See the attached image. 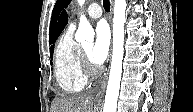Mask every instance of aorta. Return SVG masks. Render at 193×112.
<instances>
[{
  "label": "aorta",
  "instance_id": "obj_1",
  "mask_svg": "<svg viewBox=\"0 0 193 112\" xmlns=\"http://www.w3.org/2000/svg\"><path fill=\"white\" fill-rule=\"evenodd\" d=\"M78 3L82 6L84 0H78ZM126 6V0L114 1L113 52L103 112H116L117 109V100L122 76V61L124 56ZM75 39L78 42H92L94 40V30L85 16L80 17V23Z\"/></svg>",
  "mask_w": 193,
  "mask_h": 112
}]
</instances>
